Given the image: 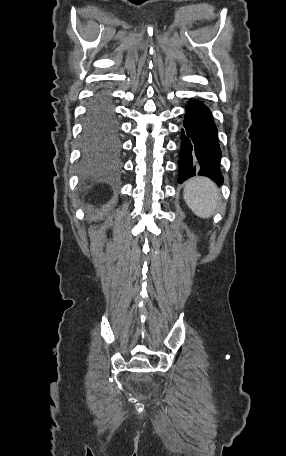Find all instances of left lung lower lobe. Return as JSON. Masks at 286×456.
Returning a JSON list of instances; mask_svg holds the SVG:
<instances>
[{"mask_svg": "<svg viewBox=\"0 0 286 456\" xmlns=\"http://www.w3.org/2000/svg\"><path fill=\"white\" fill-rule=\"evenodd\" d=\"M220 158L217 128L209 108L201 102L191 101L181 131L178 182L198 174L211 178L220 186L223 183Z\"/></svg>", "mask_w": 286, "mask_h": 456, "instance_id": "left-lung-lower-lobe-1", "label": "left lung lower lobe"}]
</instances>
